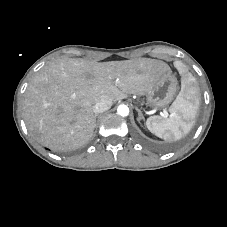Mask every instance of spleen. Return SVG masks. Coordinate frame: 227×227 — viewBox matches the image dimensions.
<instances>
[{"label":"spleen","mask_w":227,"mask_h":227,"mask_svg":"<svg viewBox=\"0 0 227 227\" xmlns=\"http://www.w3.org/2000/svg\"><path fill=\"white\" fill-rule=\"evenodd\" d=\"M197 88L191 74L184 77L182 90L170 107L168 118L153 116L147 119L148 130L166 141H176L186 135L192 128V121L196 117L198 101Z\"/></svg>","instance_id":"1"}]
</instances>
